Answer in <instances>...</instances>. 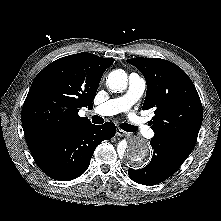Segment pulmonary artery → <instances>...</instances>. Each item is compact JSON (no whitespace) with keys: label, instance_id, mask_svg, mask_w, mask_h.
Masks as SVG:
<instances>
[{"label":"pulmonary artery","instance_id":"e3ab8cb5","mask_svg":"<svg viewBox=\"0 0 221 221\" xmlns=\"http://www.w3.org/2000/svg\"><path fill=\"white\" fill-rule=\"evenodd\" d=\"M145 89V79L136 73H132L128 77L126 93L121 97L110 99L97 106L94 112L101 116H112L121 112H127L141 98ZM128 118L141 136L149 138L154 135V131L141 117L131 113L128 115Z\"/></svg>","mask_w":221,"mask_h":221}]
</instances>
